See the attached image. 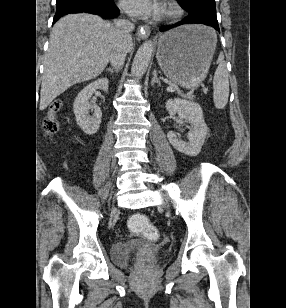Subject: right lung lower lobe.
Instances as JSON below:
<instances>
[{"label":"right lung lower lobe","mask_w":286,"mask_h":308,"mask_svg":"<svg viewBox=\"0 0 286 308\" xmlns=\"http://www.w3.org/2000/svg\"><path fill=\"white\" fill-rule=\"evenodd\" d=\"M92 13L105 19L114 18L119 14V9L113 0H65L57 3V10L53 22L65 14Z\"/></svg>","instance_id":"right-lung-lower-lobe-1"}]
</instances>
